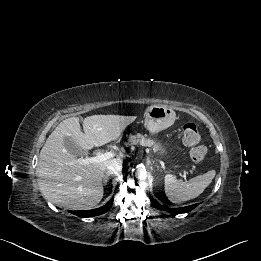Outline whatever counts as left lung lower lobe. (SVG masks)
Returning a JSON list of instances; mask_svg holds the SVG:
<instances>
[{"mask_svg":"<svg viewBox=\"0 0 261 261\" xmlns=\"http://www.w3.org/2000/svg\"><path fill=\"white\" fill-rule=\"evenodd\" d=\"M151 202L154 206L158 207L159 209H162L164 211H167L171 214H181V213H187V212H190L191 210H193L198 204H194V205H190V206H187V207H182V208H167V207H164L158 203H156L155 201H153L151 199Z\"/></svg>","mask_w":261,"mask_h":261,"instance_id":"0a47b994","label":"left lung lower lobe"}]
</instances>
